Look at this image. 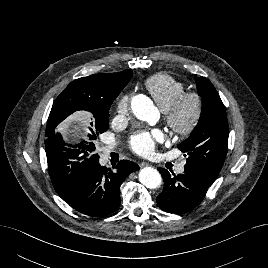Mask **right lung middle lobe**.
I'll return each mask as SVG.
<instances>
[{
    "label": "right lung middle lobe",
    "instance_id": "obj_1",
    "mask_svg": "<svg viewBox=\"0 0 268 268\" xmlns=\"http://www.w3.org/2000/svg\"><path fill=\"white\" fill-rule=\"evenodd\" d=\"M66 117V105L55 101L45 133V150L50 177L56 192L58 190L68 192L88 168L99 160V155L94 152L93 141L99 134L107 131L109 125V112L98 114L91 123L88 140L84 138V141L67 143L59 133L49 128L58 125Z\"/></svg>",
    "mask_w": 268,
    "mask_h": 268
}]
</instances>
